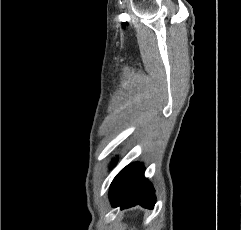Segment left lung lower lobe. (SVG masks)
I'll list each match as a JSON object with an SVG mask.
<instances>
[{
    "mask_svg": "<svg viewBox=\"0 0 241 230\" xmlns=\"http://www.w3.org/2000/svg\"><path fill=\"white\" fill-rule=\"evenodd\" d=\"M110 200L114 207L121 206V209L135 206L137 202L145 208L154 207V189L144 178L141 163L126 166L114 178L110 187Z\"/></svg>",
    "mask_w": 241,
    "mask_h": 230,
    "instance_id": "0a47b994",
    "label": "left lung lower lobe"
}]
</instances>
